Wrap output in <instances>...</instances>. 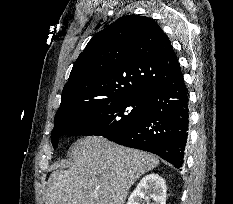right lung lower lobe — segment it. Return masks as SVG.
Instances as JSON below:
<instances>
[{"label":"right lung lower lobe","mask_w":233,"mask_h":204,"mask_svg":"<svg viewBox=\"0 0 233 204\" xmlns=\"http://www.w3.org/2000/svg\"><path fill=\"white\" fill-rule=\"evenodd\" d=\"M188 102L189 94L178 65L169 78L149 93L147 114L130 129L109 140L154 153L181 168L188 139Z\"/></svg>","instance_id":"right-lung-lower-lobe-1"}]
</instances>
